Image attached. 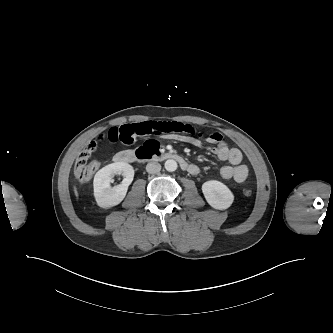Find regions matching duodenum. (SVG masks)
Here are the masks:
<instances>
[{
    "mask_svg": "<svg viewBox=\"0 0 333 333\" xmlns=\"http://www.w3.org/2000/svg\"><path fill=\"white\" fill-rule=\"evenodd\" d=\"M176 161L185 171H191L193 165L188 163L181 155L170 152H154L150 149L124 150L116 156L119 163H145L149 161Z\"/></svg>",
    "mask_w": 333,
    "mask_h": 333,
    "instance_id": "duodenum-1",
    "label": "duodenum"
}]
</instances>
